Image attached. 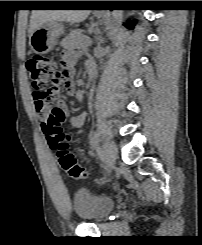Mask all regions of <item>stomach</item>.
I'll list each match as a JSON object with an SVG mask.
<instances>
[{
  "label": "stomach",
  "instance_id": "0dacf381",
  "mask_svg": "<svg viewBox=\"0 0 202 245\" xmlns=\"http://www.w3.org/2000/svg\"><path fill=\"white\" fill-rule=\"evenodd\" d=\"M65 26L59 21H48L36 29L29 38L31 50L36 54H47L56 45L57 38L64 34Z\"/></svg>",
  "mask_w": 202,
  "mask_h": 245
}]
</instances>
